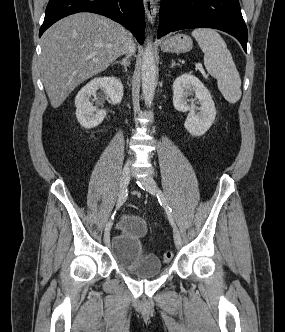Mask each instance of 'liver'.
<instances>
[{
  "mask_svg": "<svg viewBox=\"0 0 285 332\" xmlns=\"http://www.w3.org/2000/svg\"><path fill=\"white\" fill-rule=\"evenodd\" d=\"M129 41L122 25L94 13H76L52 25L42 36L41 52V75L52 107L126 53Z\"/></svg>",
  "mask_w": 285,
  "mask_h": 332,
  "instance_id": "liver-1",
  "label": "liver"
}]
</instances>
